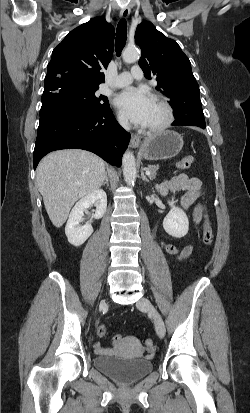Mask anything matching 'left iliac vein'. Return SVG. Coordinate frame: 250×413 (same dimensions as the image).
Segmentation results:
<instances>
[{
	"mask_svg": "<svg viewBox=\"0 0 250 413\" xmlns=\"http://www.w3.org/2000/svg\"><path fill=\"white\" fill-rule=\"evenodd\" d=\"M137 308L141 310H145L149 312L154 320L155 324V329L160 338H163L165 336V325L164 321L159 314V312L155 309V307L152 305L149 299L146 297H142L139 299V301L136 303Z\"/></svg>",
	"mask_w": 250,
	"mask_h": 413,
	"instance_id": "4c4485c4",
	"label": "left iliac vein"
}]
</instances>
